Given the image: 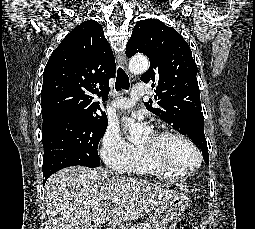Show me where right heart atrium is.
Returning a JSON list of instances; mask_svg holds the SVG:
<instances>
[{"mask_svg":"<svg viewBox=\"0 0 255 229\" xmlns=\"http://www.w3.org/2000/svg\"><path fill=\"white\" fill-rule=\"evenodd\" d=\"M133 152V145L127 142L118 129L110 127L100 143V156L105 165L115 171H123Z\"/></svg>","mask_w":255,"mask_h":229,"instance_id":"right-heart-atrium-1","label":"right heart atrium"}]
</instances>
